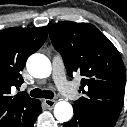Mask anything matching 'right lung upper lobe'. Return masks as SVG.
Listing matches in <instances>:
<instances>
[{
    "mask_svg": "<svg viewBox=\"0 0 127 127\" xmlns=\"http://www.w3.org/2000/svg\"><path fill=\"white\" fill-rule=\"evenodd\" d=\"M47 27L7 28L0 31V127H30L38 115L37 99L11 89L23 83L27 58L45 42Z\"/></svg>",
    "mask_w": 127,
    "mask_h": 127,
    "instance_id": "cb5924a9",
    "label": "right lung upper lobe"
}]
</instances>
